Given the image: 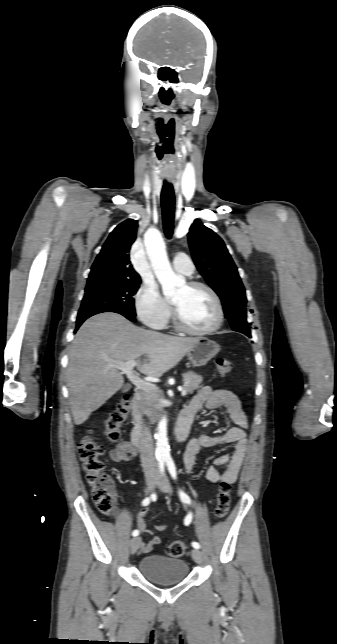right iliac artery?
I'll return each mask as SVG.
<instances>
[{
  "label": "right iliac artery",
  "instance_id": "right-iliac-artery-1",
  "mask_svg": "<svg viewBox=\"0 0 337 644\" xmlns=\"http://www.w3.org/2000/svg\"><path fill=\"white\" fill-rule=\"evenodd\" d=\"M164 462H165L164 460H159V468H160V471H161V473H162V474L164 473ZM152 499H153V500H154V499H156V494H155V493H153L150 497H146V498L142 501V505H143V506H147V505H149ZM132 535H133V536H137V535H139V531H138V530H134V531L132 532Z\"/></svg>",
  "mask_w": 337,
  "mask_h": 644
}]
</instances>
